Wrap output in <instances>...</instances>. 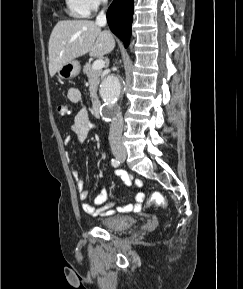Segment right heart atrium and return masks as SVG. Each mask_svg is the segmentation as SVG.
Returning <instances> with one entry per match:
<instances>
[{"instance_id":"obj_1","label":"right heart atrium","mask_w":243,"mask_h":289,"mask_svg":"<svg viewBox=\"0 0 243 289\" xmlns=\"http://www.w3.org/2000/svg\"><path fill=\"white\" fill-rule=\"evenodd\" d=\"M73 5L80 10L85 16L91 15L98 11L107 0H70Z\"/></svg>"}]
</instances>
